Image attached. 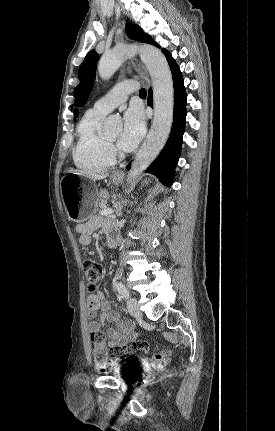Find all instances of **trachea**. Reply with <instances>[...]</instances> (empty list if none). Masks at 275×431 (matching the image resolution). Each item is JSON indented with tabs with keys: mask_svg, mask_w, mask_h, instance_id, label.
Here are the masks:
<instances>
[{
	"mask_svg": "<svg viewBox=\"0 0 275 431\" xmlns=\"http://www.w3.org/2000/svg\"><path fill=\"white\" fill-rule=\"evenodd\" d=\"M146 94H147V92H146V90H145V89H143V88L139 91V95H140V96H146Z\"/></svg>",
	"mask_w": 275,
	"mask_h": 431,
	"instance_id": "trachea-1",
	"label": "trachea"
}]
</instances>
